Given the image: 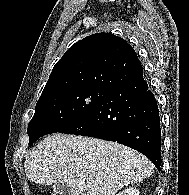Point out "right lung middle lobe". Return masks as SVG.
I'll return each mask as SVG.
<instances>
[{
  "label": "right lung middle lobe",
  "mask_w": 189,
  "mask_h": 195,
  "mask_svg": "<svg viewBox=\"0 0 189 195\" xmlns=\"http://www.w3.org/2000/svg\"><path fill=\"white\" fill-rule=\"evenodd\" d=\"M111 91L98 88H70L43 95L27 129L29 144L38 138L60 132L84 117Z\"/></svg>",
  "instance_id": "right-lung-middle-lobe-1"
}]
</instances>
